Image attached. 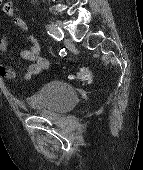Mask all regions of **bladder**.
<instances>
[{"label": "bladder", "instance_id": "1", "mask_svg": "<svg viewBox=\"0 0 143 170\" xmlns=\"http://www.w3.org/2000/svg\"><path fill=\"white\" fill-rule=\"evenodd\" d=\"M76 90L60 81L44 83L32 100V110L42 115H63L76 105Z\"/></svg>", "mask_w": 143, "mask_h": 170}]
</instances>
